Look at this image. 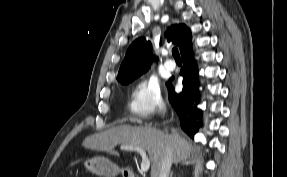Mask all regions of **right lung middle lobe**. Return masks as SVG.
Instances as JSON below:
<instances>
[{
    "label": "right lung middle lobe",
    "instance_id": "obj_1",
    "mask_svg": "<svg viewBox=\"0 0 287 177\" xmlns=\"http://www.w3.org/2000/svg\"><path fill=\"white\" fill-rule=\"evenodd\" d=\"M133 80H129V81H125V82H122V84H128L130 82H132Z\"/></svg>",
    "mask_w": 287,
    "mask_h": 177
}]
</instances>
